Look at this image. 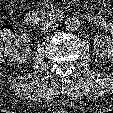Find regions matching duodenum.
Segmentation results:
<instances>
[{"label": "duodenum", "mask_w": 113, "mask_h": 113, "mask_svg": "<svg viewBox=\"0 0 113 113\" xmlns=\"http://www.w3.org/2000/svg\"><path fill=\"white\" fill-rule=\"evenodd\" d=\"M65 13L60 10H37L26 14L24 22L27 25H33L41 20L59 21L62 20Z\"/></svg>", "instance_id": "1"}]
</instances>
